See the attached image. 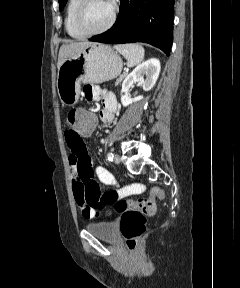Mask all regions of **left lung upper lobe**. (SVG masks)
<instances>
[{
  "label": "left lung upper lobe",
  "mask_w": 240,
  "mask_h": 288,
  "mask_svg": "<svg viewBox=\"0 0 240 288\" xmlns=\"http://www.w3.org/2000/svg\"><path fill=\"white\" fill-rule=\"evenodd\" d=\"M58 2H59V8L62 9L67 0H58Z\"/></svg>",
  "instance_id": "1"
}]
</instances>
